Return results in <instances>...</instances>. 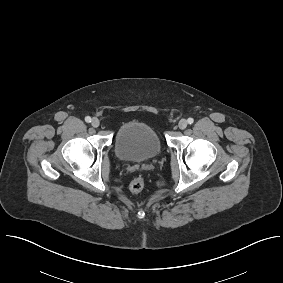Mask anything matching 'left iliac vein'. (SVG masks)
<instances>
[{
    "label": "left iliac vein",
    "instance_id": "4c4485c4",
    "mask_svg": "<svg viewBox=\"0 0 283 283\" xmlns=\"http://www.w3.org/2000/svg\"><path fill=\"white\" fill-rule=\"evenodd\" d=\"M188 125V122L186 119H181L178 123V127L181 129V130H184Z\"/></svg>",
    "mask_w": 283,
    "mask_h": 283
}]
</instances>
